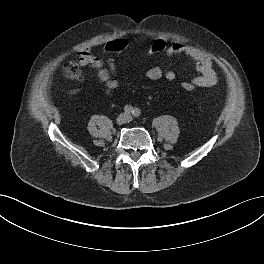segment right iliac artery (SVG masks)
<instances>
[{"label": "right iliac artery", "instance_id": "obj_1", "mask_svg": "<svg viewBox=\"0 0 264 264\" xmlns=\"http://www.w3.org/2000/svg\"><path fill=\"white\" fill-rule=\"evenodd\" d=\"M124 111L126 112V113H132L133 112V107L132 106H130V105H126L125 107H124Z\"/></svg>", "mask_w": 264, "mask_h": 264}]
</instances>
